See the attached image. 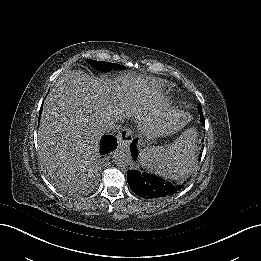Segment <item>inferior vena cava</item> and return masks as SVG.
<instances>
[{
	"label": "inferior vena cava",
	"mask_w": 261,
	"mask_h": 261,
	"mask_svg": "<svg viewBox=\"0 0 261 261\" xmlns=\"http://www.w3.org/2000/svg\"><path fill=\"white\" fill-rule=\"evenodd\" d=\"M121 127V124H118L116 121H111L104 126V130L106 133L113 135L120 132Z\"/></svg>",
	"instance_id": "inferior-vena-cava-1"
}]
</instances>
